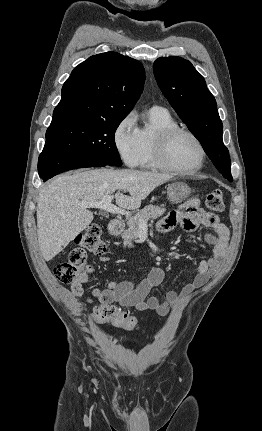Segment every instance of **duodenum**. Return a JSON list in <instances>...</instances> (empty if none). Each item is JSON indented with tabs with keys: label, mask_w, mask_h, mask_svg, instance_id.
<instances>
[{
	"label": "duodenum",
	"mask_w": 262,
	"mask_h": 431,
	"mask_svg": "<svg viewBox=\"0 0 262 431\" xmlns=\"http://www.w3.org/2000/svg\"><path fill=\"white\" fill-rule=\"evenodd\" d=\"M124 228V224L120 220H112L108 224V231L112 235L119 234Z\"/></svg>",
	"instance_id": "duodenum-1"
}]
</instances>
